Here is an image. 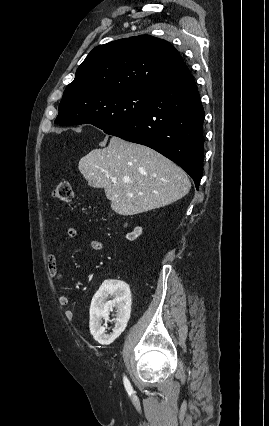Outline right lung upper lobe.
<instances>
[{"mask_svg": "<svg viewBox=\"0 0 269 426\" xmlns=\"http://www.w3.org/2000/svg\"><path fill=\"white\" fill-rule=\"evenodd\" d=\"M189 74L181 55L169 42L140 35L94 48L63 97L79 94L90 98L127 90L154 92Z\"/></svg>", "mask_w": 269, "mask_h": 426, "instance_id": "obj_1", "label": "right lung upper lobe"}]
</instances>
